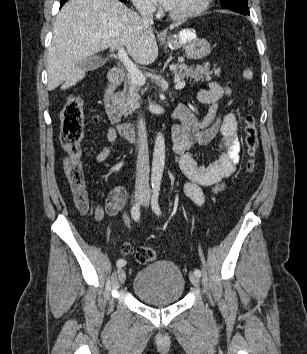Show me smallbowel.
I'll list each match as a JSON object with an SVG mask.
<instances>
[{
  "label": "small bowel",
  "mask_w": 307,
  "mask_h": 354,
  "mask_svg": "<svg viewBox=\"0 0 307 354\" xmlns=\"http://www.w3.org/2000/svg\"><path fill=\"white\" fill-rule=\"evenodd\" d=\"M229 88L219 82H211L208 89L197 93V101L209 106L208 113L200 119L190 108L179 105L175 115L182 119V124L172 129L173 151L177 162L187 178L182 189L184 194L196 205L205 203L203 187H211L214 193L224 188V179L229 177L239 162L240 142L237 133V119L232 113L218 116L220 100L228 96ZM220 129L222 138L219 142L220 157L217 161L203 166L198 165L191 154L194 145L207 144ZM115 127L108 128L101 137L107 144L96 154L97 162H105L110 156L117 140ZM127 191L124 187L112 189L105 202V212L116 214L127 203ZM100 214V213H99Z\"/></svg>",
  "instance_id": "small-bowel-1"
}]
</instances>
